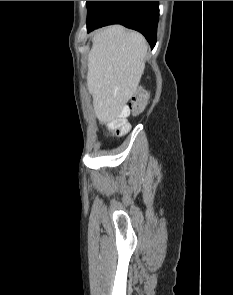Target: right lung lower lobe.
Masks as SVG:
<instances>
[{
	"label": "right lung lower lobe",
	"mask_w": 233,
	"mask_h": 295,
	"mask_svg": "<svg viewBox=\"0 0 233 295\" xmlns=\"http://www.w3.org/2000/svg\"><path fill=\"white\" fill-rule=\"evenodd\" d=\"M159 1H91L87 31L110 24H122L141 32L151 48L156 43Z\"/></svg>",
	"instance_id": "obj_1"
}]
</instances>
